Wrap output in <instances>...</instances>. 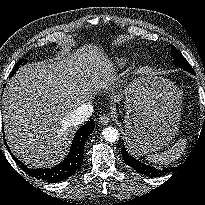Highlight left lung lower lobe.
Listing matches in <instances>:
<instances>
[{"label": "left lung lower lobe", "mask_w": 205, "mask_h": 205, "mask_svg": "<svg viewBox=\"0 0 205 205\" xmlns=\"http://www.w3.org/2000/svg\"><path fill=\"white\" fill-rule=\"evenodd\" d=\"M122 155L124 158V162L127 165L133 167L137 172L141 174L148 175V176H159L164 174V172H167L165 169H163L162 171L156 170L155 168L149 165L139 162L138 160L130 156L125 148L122 149Z\"/></svg>", "instance_id": "0a47b994"}]
</instances>
